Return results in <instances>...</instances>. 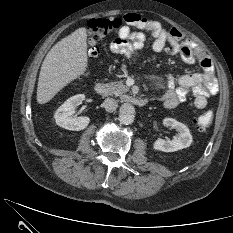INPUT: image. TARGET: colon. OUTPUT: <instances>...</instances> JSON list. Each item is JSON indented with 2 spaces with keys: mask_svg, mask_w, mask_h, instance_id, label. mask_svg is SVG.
I'll return each instance as SVG.
<instances>
[{
  "mask_svg": "<svg viewBox=\"0 0 233 233\" xmlns=\"http://www.w3.org/2000/svg\"><path fill=\"white\" fill-rule=\"evenodd\" d=\"M122 21L119 18L91 19L88 23V54L96 57L99 53V42L113 31L119 29ZM213 112L206 111L193 120L192 125L197 130H204L211 125Z\"/></svg>",
  "mask_w": 233,
  "mask_h": 233,
  "instance_id": "obj_1",
  "label": "colon"
}]
</instances>
